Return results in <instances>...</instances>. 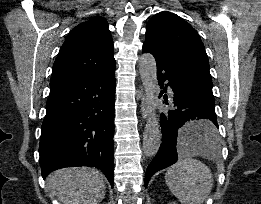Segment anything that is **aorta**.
Listing matches in <instances>:
<instances>
[{
    "mask_svg": "<svg viewBox=\"0 0 261 204\" xmlns=\"http://www.w3.org/2000/svg\"><path fill=\"white\" fill-rule=\"evenodd\" d=\"M139 73L148 102V119L143 135V151L147 157H153L157 154L161 144V129L153 106L157 88V66L152 54L141 55Z\"/></svg>",
    "mask_w": 261,
    "mask_h": 204,
    "instance_id": "aorta-1",
    "label": "aorta"
}]
</instances>
